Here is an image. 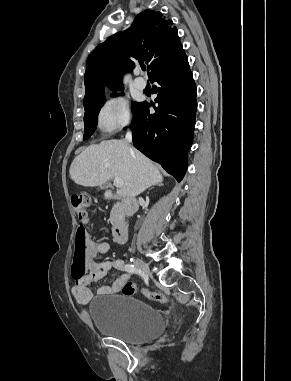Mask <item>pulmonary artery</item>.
Masks as SVG:
<instances>
[{"label": "pulmonary artery", "instance_id": "pulmonary-artery-1", "mask_svg": "<svg viewBox=\"0 0 291 381\" xmlns=\"http://www.w3.org/2000/svg\"><path fill=\"white\" fill-rule=\"evenodd\" d=\"M134 87L138 90H143L146 87L145 80L139 76V72L136 73V77L133 81Z\"/></svg>", "mask_w": 291, "mask_h": 381}]
</instances>
